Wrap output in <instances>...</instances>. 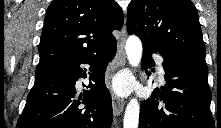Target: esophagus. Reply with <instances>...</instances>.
Instances as JSON below:
<instances>
[{"label":"esophagus","instance_id":"1","mask_svg":"<svg viewBox=\"0 0 221 128\" xmlns=\"http://www.w3.org/2000/svg\"><path fill=\"white\" fill-rule=\"evenodd\" d=\"M126 29L125 25L121 29L120 36L118 38L117 53H116V63L118 67H122L126 64V53H125V42H126ZM112 105L114 115H119L125 106V101L120 99L115 94L112 95Z\"/></svg>","mask_w":221,"mask_h":128}]
</instances>
